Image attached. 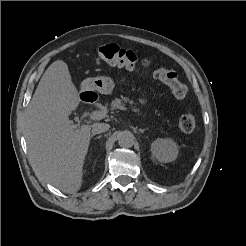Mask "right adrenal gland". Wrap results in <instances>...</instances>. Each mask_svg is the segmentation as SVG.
Returning a JSON list of instances; mask_svg holds the SVG:
<instances>
[{
    "label": "right adrenal gland",
    "mask_w": 246,
    "mask_h": 246,
    "mask_svg": "<svg viewBox=\"0 0 246 246\" xmlns=\"http://www.w3.org/2000/svg\"><path fill=\"white\" fill-rule=\"evenodd\" d=\"M91 137H93V135H92ZM100 138H101V135H100V136L95 137V139H100Z\"/></svg>",
    "instance_id": "2a0ac1e0"
}]
</instances>
